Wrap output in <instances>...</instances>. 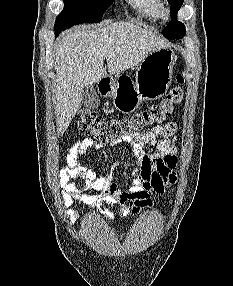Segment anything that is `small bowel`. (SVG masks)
Returning a JSON list of instances; mask_svg holds the SVG:
<instances>
[{"label":"small bowel","instance_id":"obj_1","mask_svg":"<svg viewBox=\"0 0 233 286\" xmlns=\"http://www.w3.org/2000/svg\"><path fill=\"white\" fill-rule=\"evenodd\" d=\"M175 132L176 124L169 122L164 126H155L150 131L123 139L130 144L134 156L132 171L134 179L127 189H119L110 175H99L94 168L83 162L88 150L91 148L102 150L106 146L105 143L90 137L79 139L68 149L67 165L58 173L64 206H70L75 200L83 201L93 207H100L102 214L109 220L115 217V213L121 217L132 214L129 202L136 193L141 191H146L149 195L163 193L168 185L175 183L174 169L177 164ZM145 145L155 146L156 151L146 152ZM76 177L81 178V184L70 181ZM87 189H92L96 193L84 192ZM151 205L150 200L147 206ZM67 216L71 224L78 222L80 217L75 211H68Z\"/></svg>","mask_w":233,"mask_h":286}]
</instances>
